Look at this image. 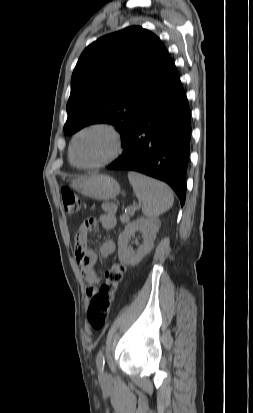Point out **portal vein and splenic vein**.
Instances as JSON below:
<instances>
[{
    "label": "portal vein and splenic vein",
    "instance_id": "obj_1",
    "mask_svg": "<svg viewBox=\"0 0 253 413\" xmlns=\"http://www.w3.org/2000/svg\"><path fill=\"white\" fill-rule=\"evenodd\" d=\"M131 211H132V213H134L135 210L133 208H131Z\"/></svg>",
    "mask_w": 253,
    "mask_h": 413
}]
</instances>
